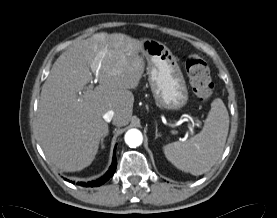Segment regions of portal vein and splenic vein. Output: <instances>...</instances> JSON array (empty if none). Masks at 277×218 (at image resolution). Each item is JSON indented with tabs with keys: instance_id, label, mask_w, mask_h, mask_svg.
Instances as JSON below:
<instances>
[{
	"instance_id": "obj_1",
	"label": "portal vein and splenic vein",
	"mask_w": 277,
	"mask_h": 218,
	"mask_svg": "<svg viewBox=\"0 0 277 218\" xmlns=\"http://www.w3.org/2000/svg\"><path fill=\"white\" fill-rule=\"evenodd\" d=\"M98 70H99V68L98 69H93V72H96V74L98 73ZM93 88V85L91 84V85H89L88 87H87V90H91ZM189 130L192 132V130H193V126L191 125V124H189ZM172 133H175L174 131H172Z\"/></svg>"
}]
</instances>
